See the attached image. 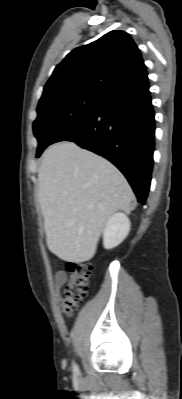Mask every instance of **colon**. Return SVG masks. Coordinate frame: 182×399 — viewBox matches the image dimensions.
<instances>
[{
	"mask_svg": "<svg viewBox=\"0 0 182 399\" xmlns=\"http://www.w3.org/2000/svg\"><path fill=\"white\" fill-rule=\"evenodd\" d=\"M91 269L88 262L71 261L67 263L70 278L61 300V312L65 316H72L79 303L86 297Z\"/></svg>",
	"mask_w": 182,
	"mask_h": 399,
	"instance_id": "obj_1",
	"label": "colon"
}]
</instances>
